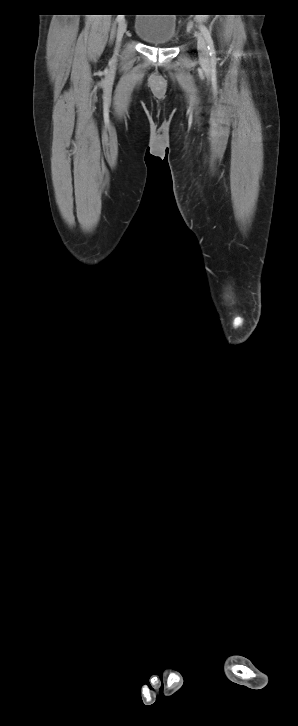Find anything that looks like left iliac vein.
<instances>
[{
    "label": "left iliac vein",
    "mask_w": 298,
    "mask_h": 726,
    "mask_svg": "<svg viewBox=\"0 0 298 726\" xmlns=\"http://www.w3.org/2000/svg\"><path fill=\"white\" fill-rule=\"evenodd\" d=\"M197 49H198L200 61L203 63H207L209 61L207 43H206L204 37L199 33L197 34Z\"/></svg>",
    "instance_id": "4c4485c4"
}]
</instances>
